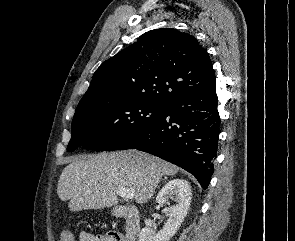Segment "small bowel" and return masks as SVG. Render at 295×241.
Listing matches in <instances>:
<instances>
[{
    "mask_svg": "<svg viewBox=\"0 0 295 241\" xmlns=\"http://www.w3.org/2000/svg\"><path fill=\"white\" fill-rule=\"evenodd\" d=\"M80 241H124L116 232H109L105 235L94 234L84 231L80 234Z\"/></svg>",
    "mask_w": 295,
    "mask_h": 241,
    "instance_id": "small-bowel-1",
    "label": "small bowel"
}]
</instances>
